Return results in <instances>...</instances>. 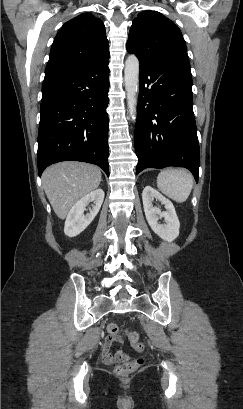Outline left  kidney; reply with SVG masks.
<instances>
[{
  "label": "left kidney",
  "instance_id": "obj_1",
  "mask_svg": "<svg viewBox=\"0 0 243 409\" xmlns=\"http://www.w3.org/2000/svg\"><path fill=\"white\" fill-rule=\"evenodd\" d=\"M159 200L164 205L165 211L154 207L153 200ZM142 201L145 216L151 229L163 240L171 242L179 236L180 222L172 202L162 196L151 186H146L142 192ZM164 218L165 224H160L159 219Z\"/></svg>",
  "mask_w": 243,
  "mask_h": 409
}]
</instances>
